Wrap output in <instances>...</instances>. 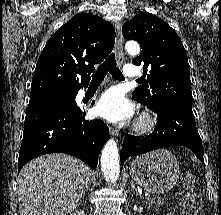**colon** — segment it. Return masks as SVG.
Here are the masks:
<instances>
[{
    "instance_id": "1",
    "label": "colon",
    "mask_w": 221,
    "mask_h": 215,
    "mask_svg": "<svg viewBox=\"0 0 221 215\" xmlns=\"http://www.w3.org/2000/svg\"><path fill=\"white\" fill-rule=\"evenodd\" d=\"M186 193L183 195L181 199V206L183 209V215H198L195 207H194V179L192 175H187L186 177Z\"/></svg>"
}]
</instances>
